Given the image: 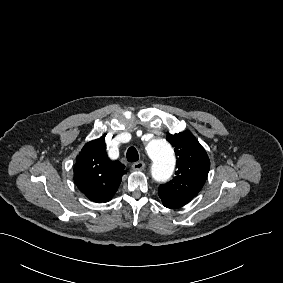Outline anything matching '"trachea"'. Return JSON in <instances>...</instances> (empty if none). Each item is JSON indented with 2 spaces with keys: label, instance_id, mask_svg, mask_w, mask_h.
<instances>
[{
  "label": "trachea",
  "instance_id": "trachea-1",
  "mask_svg": "<svg viewBox=\"0 0 283 283\" xmlns=\"http://www.w3.org/2000/svg\"><path fill=\"white\" fill-rule=\"evenodd\" d=\"M127 160L131 163L139 160V154L135 147L131 146L128 148L126 153Z\"/></svg>",
  "mask_w": 283,
  "mask_h": 283
}]
</instances>
